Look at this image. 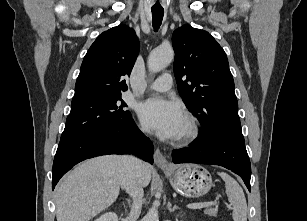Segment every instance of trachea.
<instances>
[{"label":"trachea","mask_w":307,"mask_h":221,"mask_svg":"<svg viewBox=\"0 0 307 221\" xmlns=\"http://www.w3.org/2000/svg\"><path fill=\"white\" fill-rule=\"evenodd\" d=\"M152 19H153V28L157 31L162 23V19L164 16L163 9H152Z\"/></svg>","instance_id":"3493384b"}]
</instances>
